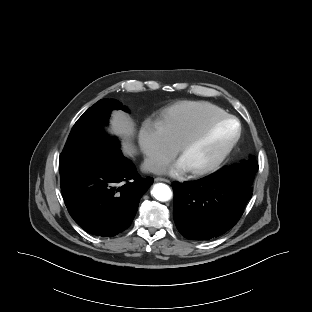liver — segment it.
I'll return each mask as SVG.
<instances>
[{
	"instance_id": "liver-1",
	"label": "liver",
	"mask_w": 312,
	"mask_h": 312,
	"mask_svg": "<svg viewBox=\"0 0 312 312\" xmlns=\"http://www.w3.org/2000/svg\"><path fill=\"white\" fill-rule=\"evenodd\" d=\"M110 120V132L123 138L122 152L127 156L136 154V148L132 143L135 132L133 120L122 111H113Z\"/></svg>"
}]
</instances>
